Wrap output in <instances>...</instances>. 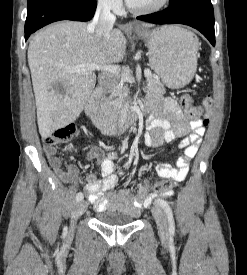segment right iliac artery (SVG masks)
I'll return each instance as SVG.
<instances>
[{"mask_svg": "<svg viewBox=\"0 0 247 275\" xmlns=\"http://www.w3.org/2000/svg\"><path fill=\"white\" fill-rule=\"evenodd\" d=\"M82 199H83V193L82 192L77 193L76 201H81Z\"/></svg>", "mask_w": 247, "mask_h": 275, "instance_id": "82829eb1", "label": "right iliac artery"}]
</instances>
